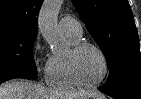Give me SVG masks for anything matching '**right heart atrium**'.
<instances>
[{
  "mask_svg": "<svg viewBox=\"0 0 141 99\" xmlns=\"http://www.w3.org/2000/svg\"><path fill=\"white\" fill-rule=\"evenodd\" d=\"M33 56H34L35 62L38 65H40L41 60H42V44L39 40L36 41V43L33 47ZM47 65H48V61L43 65V69L45 71V74H46V70H47Z\"/></svg>",
  "mask_w": 141,
  "mask_h": 99,
  "instance_id": "1",
  "label": "right heart atrium"
}]
</instances>
